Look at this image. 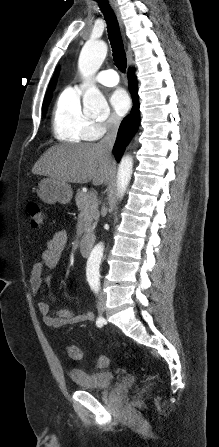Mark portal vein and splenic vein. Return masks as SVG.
<instances>
[{
    "mask_svg": "<svg viewBox=\"0 0 219 447\" xmlns=\"http://www.w3.org/2000/svg\"><path fill=\"white\" fill-rule=\"evenodd\" d=\"M91 194H92V195H93V196H94V197L96 198V195H95V193H94V192H92Z\"/></svg>",
    "mask_w": 219,
    "mask_h": 447,
    "instance_id": "portal-vein-and-splenic-vein-1",
    "label": "portal vein and splenic vein"
}]
</instances>
